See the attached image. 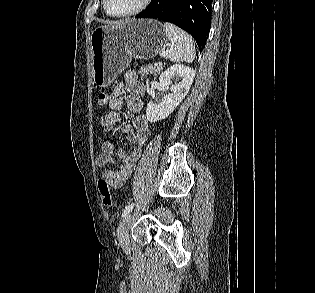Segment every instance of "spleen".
<instances>
[{
    "instance_id": "3e777b00",
    "label": "spleen",
    "mask_w": 315,
    "mask_h": 293,
    "mask_svg": "<svg viewBox=\"0 0 315 293\" xmlns=\"http://www.w3.org/2000/svg\"><path fill=\"white\" fill-rule=\"evenodd\" d=\"M164 29L170 41L166 50L167 58L172 62H193L196 49L190 35L168 22L164 23Z\"/></svg>"
}]
</instances>
